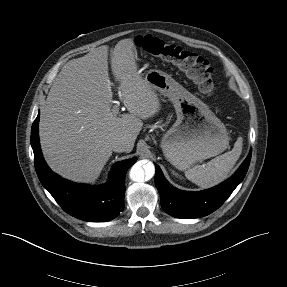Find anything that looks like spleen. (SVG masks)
Returning a JSON list of instances; mask_svg holds the SVG:
<instances>
[{
  "instance_id": "1",
  "label": "spleen",
  "mask_w": 287,
  "mask_h": 287,
  "mask_svg": "<svg viewBox=\"0 0 287 287\" xmlns=\"http://www.w3.org/2000/svg\"><path fill=\"white\" fill-rule=\"evenodd\" d=\"M242 146L243 138L240 136L231 151L217 156L206 164L188 169L185 171L186 178L202 188H210L221 183L239 159Z\"/></svg>"
}]
</instances>
